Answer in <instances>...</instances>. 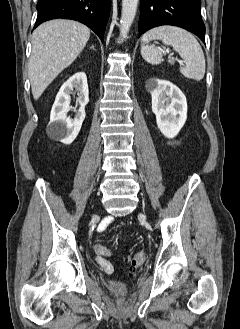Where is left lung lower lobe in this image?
<instances>
[{
    "instance_id": "left-lung-lower-lobe-1",
    "label": "left lung lower lobe",
    "mask_w": 240,
    "mask_h": 329,
    "mask_svg": "<svg viewBox=\"0 0 240 329\" xmlns=\"http://www.w3.org/2000/svg\"><path fill=\"white\" fill-rule=\"evenodd\" d=\"M161 25L184 28L205 43L200 0H140L139 36Z\"/></svg>"
}]
</instances>
